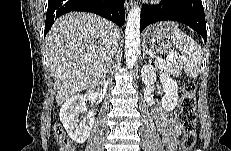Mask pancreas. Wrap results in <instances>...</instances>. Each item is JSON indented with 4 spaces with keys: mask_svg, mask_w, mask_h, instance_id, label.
<instances>
[{
    "mask_svg": "<svg viewBox=\"0 0 231 151\" xmlns=\"http://www.w3.org/2000/svg\"><path fill=\"white\" fill-rule=\"evenodd\" d=\"M155 65L171 75L177 76L182 73V62L180 60L171 61L170 63L155 62Z\"/></svg>",
    "mask_w": 231,
    "mask_h": 151,
    "instance_id": "1",
    "label": "pancreas"
}]
</instances>
